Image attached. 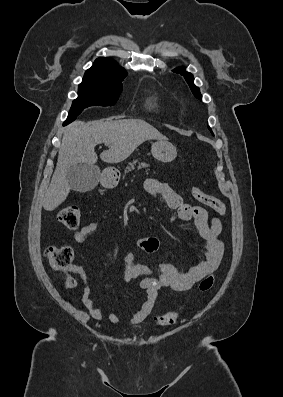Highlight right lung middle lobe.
Returning a JSON list of instances; mask_svg holds the SVG:
<instances>
[{
    "instance_id": "dd1d6c3e",
    "label": "right lung middle lobe",
    "mask_w": 283,
    "mask_h": 397,
    "mask_svg": "<svg viewBox=\"0 0 283 397\" xmlns=\"http://www.w3.org/2000/svg\"><path fill=\"white\" fill-rule=\"evenodd\" d=\"M122 91V81H97L83 79L78 87V98L72 103L64 125L72 122L83 109L92 105L108 106L118 100Z\"/></svg>"
}]
</instances>
